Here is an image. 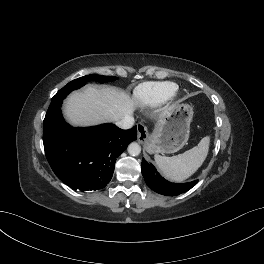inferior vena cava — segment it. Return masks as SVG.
Masks as SVG:
<instances>
[{"mask_svg": "<svg viewBox=\"0 0 264 264\" xmlns=\"http://www.w3.org/2000/svg\"><path fill=\"white\" fill-rule=\"evenodd\" d=\"M134 125V118L132 116L125 117L116 122V126L121 129H129Z\"/></svg>", "mask_w": 264, "mask_h": 264, "instance_id": "inferior-vena-cava-1", "label": "inferior vena cava"}]
</instances>
